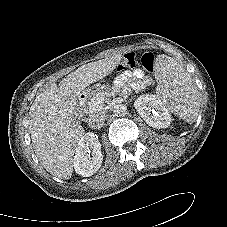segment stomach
<instances>
[{
    "mask_svg": "<svg viewBox=\"0 0 227 227\" xmlns=\"http://www.w3.org/2000/svg\"><path fill=\"white\" fill-rule=\"evenodd\" d=\"M81 94L84 95V96L89 97L90 93H89V90H87V91H83Z\"/></svg>",
    "mask_w": 227,
    "mask_h": 227,
    "instance_id": "obj_1",
    "label": "stomach"
}]
</instances>
